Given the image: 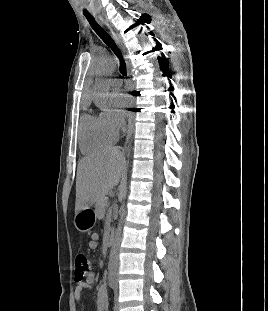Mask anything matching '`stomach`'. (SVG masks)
<instances>
[{
	"mask_svg": "<svg viewBox=\"0 0 268 311\" xmlns=\"http://www.w3.org/2000/svg\"><path fill=\"white\" fill-rule=\"evenodd\" d=\"M96 218V213L91 209V206H88L76 212L74 225L78 231L87 232L93 228Z\"/></svg>",
	"mask_w": 268,
	"mask_h": 311,
	"instance_id": "obj_1",
	"label": "stomach"
}]
</instances>
